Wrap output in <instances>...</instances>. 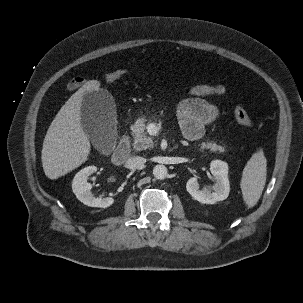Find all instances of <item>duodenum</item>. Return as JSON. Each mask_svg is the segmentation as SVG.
<instances>
[{"label":"duodenum","instance_id":"1","mask_svg":"<svg viewBox=\"0 0 303 303\" xmlns=\"http://www.w3.org/2000/svg\"><path fill=\"white\" fill-rule=\"evenodd\" d=\"M130 154V143L126 136L122 137L118 146L111 155V160L115 165L123 164Z\"/></svg>","mask_w":303,"mask_h":303}]
</instances>
